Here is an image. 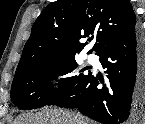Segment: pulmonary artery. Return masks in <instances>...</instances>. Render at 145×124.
Returning <instances> with one entry per match:
<instances>
[{
  "instance_id": "1",
  "label": "pulmonary artery",
  "mask_w": 145,
  "mask_h": 124,
  "mask_svg": "<svg viewBox=\"0 0 145 124\" xmlns=\"http://www.w3.org/2000/svg\"><path fill=\"white\" fill-rule=\"evenodd\" d=\"M87 61H88L89 63H95V62L97 61V58H96L95 55H88V56H87Z\"/></svg>"
}]
</instances>
